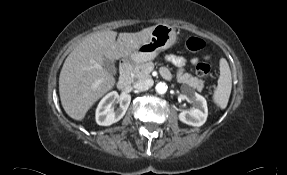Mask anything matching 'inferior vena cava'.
<instances>
[{
  "mask_svg": "<svg viewBox=\"0 0 287 175\" xmlns=\"http://www.w3.org/2000/svg\"><path fill=\"white\" fill-rule=\"evenodd\" d=\"M152 85H153L152 79H142L134 84V88L142 91L149 89L150 87H152Z\"/></svg>",
  "mask_w": 287,
  "mask_h": 175,
  "instance_id": "1",
  "label": "inferior vena cava"
}]
</instances>
